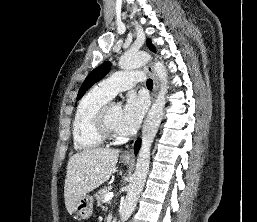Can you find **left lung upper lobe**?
<instances>
[{
  "instance_id": "left-lung-upper-lobe-1",
  "label": "left lung upper lobe",
  "mask_w": 257,
  "mask_h": 222,
  "mask_svg": "<svg viewBox=\"0 0 257 222\" xmlns=\"http://www.w3.org/2000/svg\"><path fill=\"white\" fill-rule=\"evenodd\" d=\"M147 45L149 46L150 50L154 51V46L151 44L149 40H147ZM111 68V62L107 61L103 63L102 65L98 66L94 70H92L88 76L86 77L85 81L81 85L78 95H77V100H80L82 96L85 94V92L96 82L101 80L110 70Z\"/></svg>"
}]
</instances>
